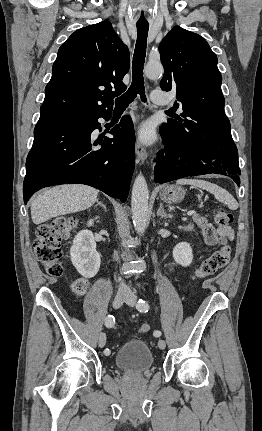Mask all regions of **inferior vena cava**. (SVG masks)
<instances>
[{"instance_id": "inferior-vena-cava-1", "label": "inferior vena cava", "mask_w": 262, "mask_h": 431, "mask_svg": "<svg viewBox=\"0 0 262 431\" xmlns=\"http://www.w3.org/2000/svg\"><path fill=\"white\" fill-rule=\"evenodd\" d=\"M128 289H129L128 286L123 281H121V283L119 285V290L123 291V292H127Z\"/></svg>"}]
</instances>
